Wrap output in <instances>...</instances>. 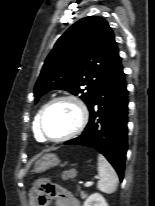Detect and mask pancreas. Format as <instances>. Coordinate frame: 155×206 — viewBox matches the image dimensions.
<instances>
[{
    "instance_id": "obj_1",
    "label": "pancreas",
    "mask_w": 155,
    "mask_h": 206,
    "mask_svg": "<svg viewBox=\"0 0 155 206\" xmlns=\"http://www.w3.org/2000/svg\"><path fill=\"white\" fill-rule=\"evenodd\" d=\"M80 195H81V198H82V199L86 198V193H85L84 191H81V192H80Z\"/></svg>"
}]
</instances>
